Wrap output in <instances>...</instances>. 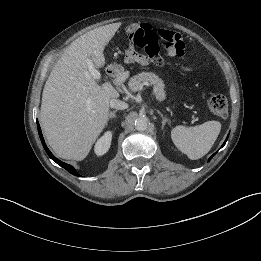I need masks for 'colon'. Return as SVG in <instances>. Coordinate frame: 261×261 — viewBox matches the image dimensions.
<instances>
[{"label":"colon","mask_w":261,"mask_h":261,"mask_svg":"<svg viewBox=\"0 0 261 261\" xmlns=\"http://www.w3.org/2000/svg\"><path fill=\"white\" fill-rule=\"evenodd\" d=\"M133 45L144 49L151 63L163 66L164 61L160 55L158 37L162 39L168 52L177 56L184 54V43L179 34L171 32L168 28L152 26L148 19L143 20L140 25L131 22L126 27ZM209 111L220 118L228 115V103L224 96L215 95L208 101Z\"/></svg>","instance_id":"1"}]
</instances>
